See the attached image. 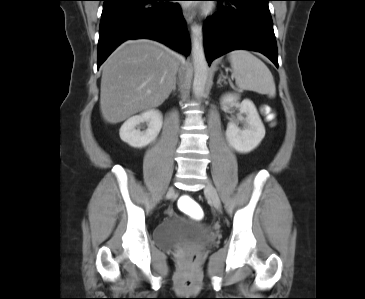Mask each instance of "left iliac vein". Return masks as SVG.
<instances>
[{"label": "left iliac vein", "instance_id": "4c4485c4", "mask_svg": "<svg viewBox=\"0 0 365 299\" xmlns=\"http://www.w3.org/2000/svg\"><path fill=\"white\" fill-rule=\"evenodd\" d=\"M205 193L208 195V197L210 198L213 206L215 207V209L217 211H221V201L219 198V195L217 193L216 188L213 186V184L211 183L210 180H206L205 182Z\"/></svg>", "mask_w": 365, "mask_h": 299}]
</instances>
